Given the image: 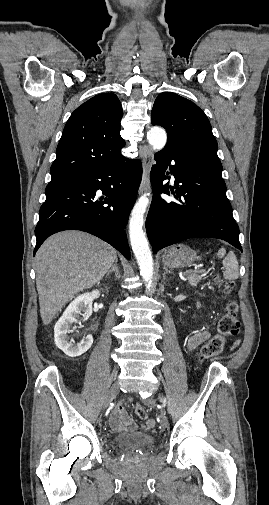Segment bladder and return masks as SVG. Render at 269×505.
Masks as SVG:
<instances>
[{
    "mask_svg": "<svg viewBox=\"0 0 269 505\" xmlns=\"http://www.w3.org/2000/svg\"><path fill=\"white\" fill-rule=\"evenodd\" d=\"M155 443L152 435H119L111 439L112 446L120 450H145L152 448Z\"/></svg>",
    "mask_w": 269,
    "mask_h": 505,
    "instance_id": "bladder-1",
    "label": "bladder"
}]
</instances>
